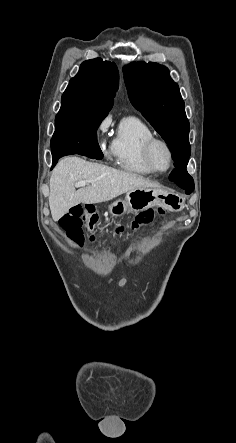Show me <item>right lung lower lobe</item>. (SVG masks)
I'll return each instance as SVG.
<instances>
[{
	"mask_svg": "<svg viewBox=\"0 0 236 443\" xmlns=\"http://www.w3.org/2000/svg\"><path fill=\"white\" fill-rule=\"evenodd\" d=\"M70 154H79L84 155L89 158L100 160L103 158V153L99 147V145H85V146H74L69 148H63L60 150L52 151V159L53 166L58 162L59 158L70 155Z\"/></svg>",
	"mask_w": 236,
	"mask_h": 443,
	"instance_id": "98d812e1",
	"label": "right lung lower lobe"
}]
</instances>
